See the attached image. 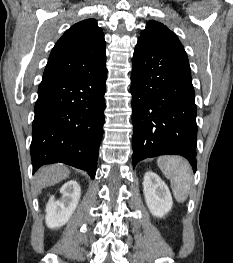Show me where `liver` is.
<instances>
[{"mask_svg": "<svg viewBox=\"0 0 233 263\" xmlns=\"http://www.w3.org/2000/svg\"><path fill=\"white\" fill-rule=\"evenodd\" d=\"M69 174V169L60 164L44 166L35 174V188L40 191L45 187L55 185L66 179Z\"/></svg>", "mask_w": 233, "mask_h": 263, "instance_id": "6515ba94", "label": "liver"}]
</instances>
